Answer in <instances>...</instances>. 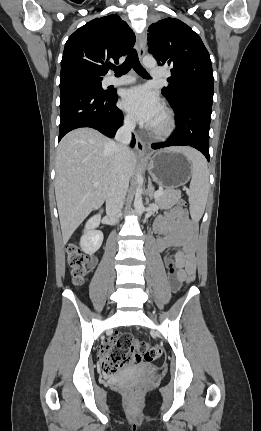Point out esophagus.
<instances>
[{
	"mask_svg": "<svg viewBox=\"0 0 261 431\" xmlns=\"http://www.w3.org/2000/svg\"><path fill=\"white\" fill-rule=\"evenodd\" d=\"M145 44H146V37L145 34H141L138 36L137 38V51H138V55L139 58L142 59L145 55ZM136 151L140 154L143 155L146 152V144L144 142V140L136 134Z\"/></svg>",
	"mask_w": 261,
	"mask_h": 431,
	"instance_id": "34e87169",
	"label": "esophagus"
}]
</instances>
